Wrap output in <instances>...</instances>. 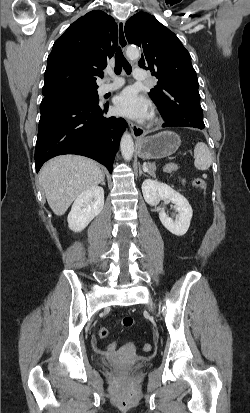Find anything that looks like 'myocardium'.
<instances>
[{
  "label": "myocardium",
  "mask_w": 250,
  "mask_h": 413,
  "mask_svg": "<svg viewBox=\"0 0 250 413\" xmlns=\"http://www.w3.org/2000/svg\"><path fill=\"white\" fill-rule=\"evenodd\" d=\"M151 119H152L153 121H155V122L159 120V113H158L157 110H153V111H152Z\"/></svg>",
  "instance_id": "myocardium-1"
}]
</instances>
